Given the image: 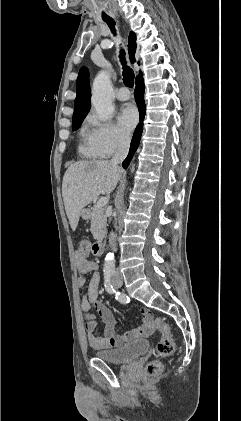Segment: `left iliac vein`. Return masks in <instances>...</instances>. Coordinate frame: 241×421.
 Segmentation results:
<instances>
[{"instance_id": "4c4485c4", "label": "left iliac vein", "mask_w": 241, "mask_h": 421, "mask_svg": "<svg viewBox=\"0 0 241 421\" xmlns=\"http://www.w3.org/2000/svg\"><path fill=\"white\" fill-rule=\"evenodd\" d=\"M116 282H119V283H120V285L122 284V281H121V280L115 281V282H114V284H115Z\"/></svg>"}]
</instances>
